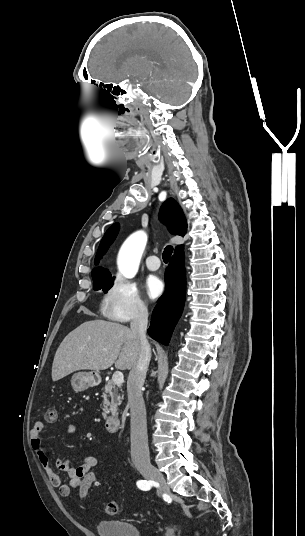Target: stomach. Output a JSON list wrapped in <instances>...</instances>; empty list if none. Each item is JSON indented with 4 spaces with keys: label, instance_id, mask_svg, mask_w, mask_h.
<instances>
[{
    "label": "stomach",
    "instance_id": "0dacf381",
    "mask_svg": "<svg viewBox=\"0 0 305 536\" xmlns=\"http://www.w3.org/2000/svg\"><path fill=\"white\" fill-rule=\"evenodd\" d=\"M100 382V376H97L94 372H78L71 378V386L75 392H84L91 386H98Z\"/></svg>",
    "mask_w": 305,
    "mask_h": 536
}]
</instances>
